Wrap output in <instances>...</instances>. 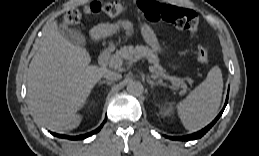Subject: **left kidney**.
<instances>
[{"label": "left kidney", "mask_w": 259, "mask_h": 156, "mask_svg": "<svg viewBox=\"0 0 259 156\" xmlns=\"http://www.w3.org/2000/svg\"><path fill=\"white\" fill-rule=\"evenodd\" d=\"M161 110L163 116H170L173 113V103L168 101L162 103Z\"/></svg>", "instance_id": "1"}]
</instances>
